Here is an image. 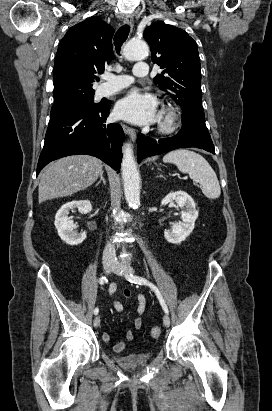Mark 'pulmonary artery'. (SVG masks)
I'll return each mask as SVG.
<instances>
[{"mask_svg": "<svg viewBox=\"0 0 272 411\" xmlns=\"http://www.w3.org/2000/svg\"><path fill=\"white\" fill-rule=\"evenodd\" d=\"M134 77L142 78L148 76V66L146 63H137L134 68ZM106 83L102 84L98 88V96L104 97L112 95L123 88L128 87L134 81V78L129 75H114V74H106L104 76Z\"/></svg>", "mask_w": 272, "mask_h": 411, "instance_id": "pulmonary-artery-1", "label": "pulmonary artery"}]
</instances>
